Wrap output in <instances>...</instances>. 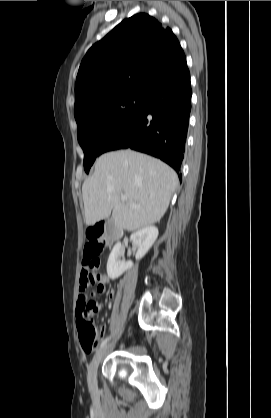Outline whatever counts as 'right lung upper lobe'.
Masks as SVG:
<instances>
[{"label": "right lung upper lobe", "mask_w": 271, "mask_h": 418, "mask_svg": "<svg viewBox=\"0 0 271 418\" xmlns=\"http://www.w3.org/2000/svg\"><path fill=\"white\" fill-rule=\"evenodd\" d=\"M186 64L172 30L145 13L123 20L83 58L75 85L74 114L117 95L149 98Z\"/></svg>", "instance_id": "right-lung-upper-lobe-1"}]
</instances>
